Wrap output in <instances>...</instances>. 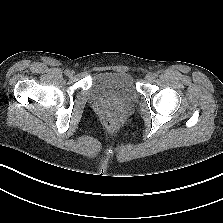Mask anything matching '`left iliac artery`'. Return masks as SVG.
<instances>
[{"instance_id": "1", "label": "left iliac artery", "mask_w": 223, "mask_h": 223, "mask_svg": "<svg viewBox=\"0 0 223 223\" xmlns=\"http://www.w3.org/2000/svg\"><path fill=\"white\" fill-rule=\"evenodd\" d=\"M158 77V73H154V78Z\"/></svg>"}]
</instances>
